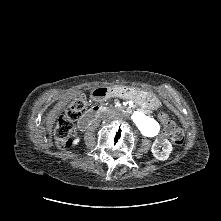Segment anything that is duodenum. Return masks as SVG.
<instances>
[{
	"mask_svg": "<svg viewBox=\"0 0 221 221\" xmlns=\"http://www.w3.org/2000/svg\"><path fill=\"white\" fill-rule=\"evenodd\" d=\"M127 94V89L125 88H115L111 89L108 86L96 87L92 91V98L96 102L108 101L111 99L112 95H124ZM107 108L103 106H93L89 108L84 115L79 119L78 126L81 130H87L94 119L102 113H106Z\"/></svg>",
	"mask_w": 221,
	"mask_h": 221,
	"instance_id": "duodenum-1",
	"label": "duodenum"
}]
</instances>
